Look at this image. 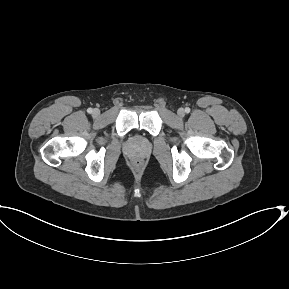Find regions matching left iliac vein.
<instances>
[{
	"instance_id": "4c4485c4",
	"label": "left iliac vein",
	"mask_w": 289,
	"mask_h": 289,
	"mask_svg": "<svg viewBox=\"0 0 289 289\" xmlns=\"http://www.w3.org/2000/svg\"><path fill=\"white\" fill-rule=\"evenodd\" d=\"M177 114L179 117H184L185 115V111L183 108L178 109Z\"/></svg>"
}]
</instances>
